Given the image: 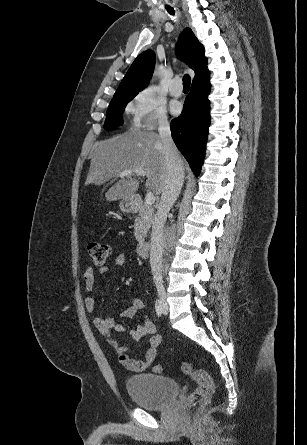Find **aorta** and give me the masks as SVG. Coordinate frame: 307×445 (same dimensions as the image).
<instances>
[{
    "label": "aorta",
    "instance_id": "aorta-1",
    "mask_svg": "<svg viewBox=\"0 0 307 445\" xmlns=\"http://www.w3.org/2000/svg\"><path fill=\"white\" fill-rule=\"evenodd\" d=\"M159 68H163V66H159Z\"/></svg>",
    "mask_w": 307,
    "mask_h": 445
}]
</instances>
